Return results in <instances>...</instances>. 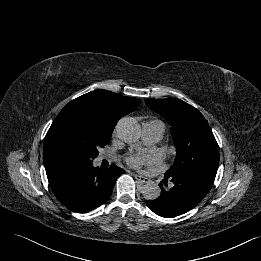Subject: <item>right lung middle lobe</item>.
<instances>
[{
	"label": "right lung middle lobe",
	"instance_id": "obj_1",
	"mask_svg": "<svg viewBox=\"0 0 261 261\" xmlns=\"http://www.w3.org/2000/svg\"><path fill=\"white\" fill-rule=\"evenodd\" d=\"M113 129L88 106L60 112L44 140L45 167L93 162L98 149L109 142Z\"/></svg>",
	"mask_w": 261,
	"mask_h": 261
}]
</instances>
